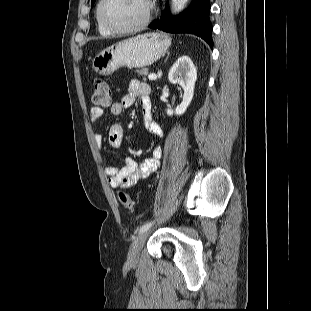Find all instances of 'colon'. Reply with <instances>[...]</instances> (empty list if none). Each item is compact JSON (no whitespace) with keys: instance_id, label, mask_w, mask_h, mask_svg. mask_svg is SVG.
<instances>
[{"instance_id":"obj_1","label":"colon","mask_w":311,"mask_h":311,"mask_svg":"<svg viewBox=\"0 0 311 311\" xmlns=\"http://www.w3.org/2000/svg\"><path fill=\"white\" fill-rule=\"evenodd\" d=\"M92 102L97 107H106L111 102L110 88L103 79H96L94 83ZM118 200L121 205L129 212L134 210V201L127 193L119 192Z\"/></svg>"}]
</instances>
